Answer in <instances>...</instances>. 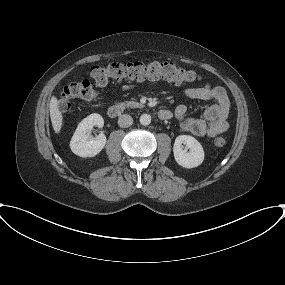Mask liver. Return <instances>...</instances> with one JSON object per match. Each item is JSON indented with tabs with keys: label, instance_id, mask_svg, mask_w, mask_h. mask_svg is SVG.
<instances>
[{
	"label": "liver",
	"instance_id": "liver-1",
	"mask_svg": "<svg viewBox=\"0 0 285 285\" xmlns=\"http://www.w3.org/2000/svg\"><path fill=\"white\" fill-rule=\"evenodd\" d=\"M49 110L53 129L58 134L63 125V115L59 109V100L55 96L50 99Z\"/></svg>",
	"mask_w": 285,
	"mask_h": 285
}]
</instances>
